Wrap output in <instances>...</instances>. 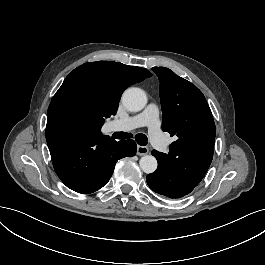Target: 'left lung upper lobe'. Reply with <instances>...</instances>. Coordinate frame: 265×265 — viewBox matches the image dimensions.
Segmentation results:
<instances>
[{"mask_svg": "<svg viewBox=\"0 0 265 265\" xmlns=\"http://www.w3.org/2000/svg\"><path fill=\"white\" fill-rule=\"evenodd\" d=\"M160 81L163 131L177 140L169 153L152 151L163 163L197 186L211 164L216 128L202 92L191 82L164 67H154Z\"/></svg>", "mask_w": 265, "mask_h": 265, "instance_id": "5c2ea615", "label": "left lung upper lobe"}]
</instances>
